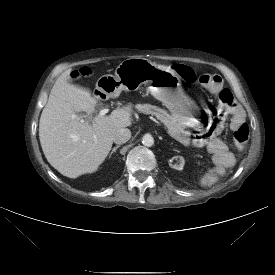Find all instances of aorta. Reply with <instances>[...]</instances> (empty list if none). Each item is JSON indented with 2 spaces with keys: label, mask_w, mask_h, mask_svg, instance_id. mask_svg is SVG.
I'll list each match as a JSON object with an SVG mask.
<instances>
[{
  "label": "aorta",
  "mask_w": 275,
  "mask_h": 275,
  "mask_svg": "<svg viewBox=\"0 0 275 275\" xmlns=\"http://www.w3.org/2000/svg\"><path fill=\"white\" fill-rule=\"evenodd\" d=\"M144 146L151 147L154 144V138L150 134H145L142 138Z\"/></svg>",
  "instance_id": "aorta-1"
}]
</instances>
